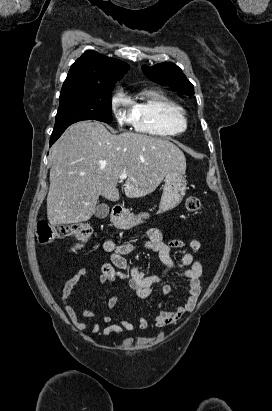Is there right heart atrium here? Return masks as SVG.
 Wrapping results in <instances>:
<instances>
[{"instance_id": "obj_1", "label": "right heart atrium", "mask_w": 272, "mask_h": 411, "mask_svg": "<svg viewBox=\"0 0 272 411\" xmlns=\"http://www.w3.org/2000/svg\"><path fill=\"white\" fill-rule=\"evenodd\" d=\"M110 109L118 126L123 127L133 123L132 106L121 90L113 95Z\"/></svg>"}]
</instances>
